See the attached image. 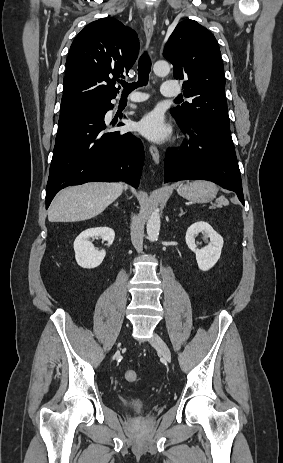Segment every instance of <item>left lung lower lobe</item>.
Listing matches in <instances>:
<instances>
[{
    "mask_svg": "<svg viewBox=\"0 0 283 463\" xmlns=\"http://www.w3.org/2000/svg\"><path fill=\"white\" fill-rule=\"evenodd\" d=\"M190 138L181 151L167 152L165 182L203 179L236 192L244 204L238 161L230 131L208 124H181Z\"/></svg>",
    "mask_w": 283,
    "mask_h": 463,
    "instance_id": "obj_1",
    "label": "left lung lower lobe"
}]
</instances>
